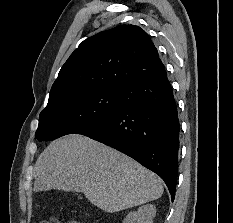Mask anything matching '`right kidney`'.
<instances>
[{
    "mask_svg": "<svg viewBox=\"0 0 233 223\" xmlns=\"http://www.w3.org/2000/svg\"><path fill=\"white\" fill-rule=\"evenodd\" d=\"M155 213V205L153 203H146V205H141L138 211H130L123 223H153Z\"/></svg>",
    "mask_w": 233,
    "mask_h": 223,
    "instance_id": "right-kidney-1",
    "label": "right kidney"
}]
</instances>
